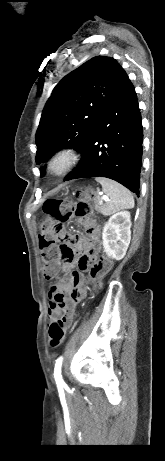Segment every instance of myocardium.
Returning <instances> with one entry per match:
<instances>
[{
    "mask_svg": "<svg viewBox=\"0 0 165 461\" xmlns=\"http://www.w3.org/2000/svg\"><path fill=\"white\" fill-rule=\"evenodd\" d=\"M79 162L78 152L70 147L55 151L47 160V173L53 178L67 175Z\"/></svg>",
    "mask_w": 165,
    "mask_h": 461,
    "instance_id": "1",
    "label": "myocardium"
}]
</instances>
